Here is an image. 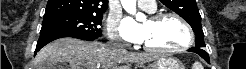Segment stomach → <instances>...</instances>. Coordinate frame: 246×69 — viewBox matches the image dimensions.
Wrapping results in <instances>:
<instances>
[{"label":"stomach","mask_w":246,"mask_h":69,"mask_svg":"<svg viewBox=\"0 0 246 69\" xmlns=\"http://www.w3.org/2000/svg\"><path fill=\"white\" fill-rule=\"evenodd\" d=\"M146 69H184V66L175 58L161 57Z\"/></svg>","instance_id":"stomach-1"}]
</instances>
